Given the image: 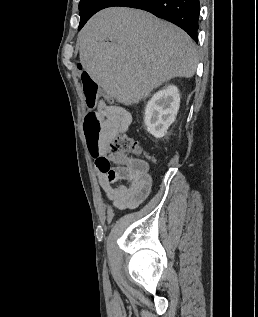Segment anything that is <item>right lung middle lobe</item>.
<instances>
[{"mask_svg":"<svg viewBox=\"0 0 258 317\" xmlns=\"http://www.w3.org/2000/svg\"><path fill=\"white\" fill-rule=\"evenodd\" d=\"M87 0H80V3H79V10L82 8V6L85 4Z\"/></svg>","mask_w":258,"mask_h":317,"instance_id":"right-lung-middle-lobe-1","label":"right lung middle lobe"}]
</instances>
